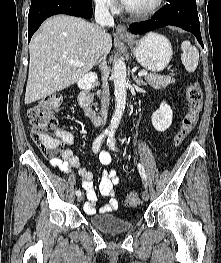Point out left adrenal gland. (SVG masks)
Wrapping results in <instances>:
<instances>
[{
    "label": "left adrenal gland",
    "mask_w": 221,
    "mask_h": 263,
    "mask_svg": "<svg viewBox=\"0 0 221 263\" xmlns=\"http://www.w3.org/2000/svg\"><path fill=\"white\" fill-rule=\"evenodd\" d=\"M132 77H133V80L135 81V83L137 85H139V86H145L146 85V83L142 79L135 76L134 73H132Z\"/></svg>",
    "instance_id": "obj_1"
}]
</instances>
